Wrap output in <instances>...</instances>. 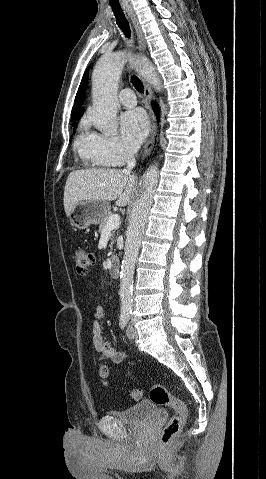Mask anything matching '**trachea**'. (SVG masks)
<instances>
[{"mask_svg": "<svg viewBox=\"0 0 266 479\" xmlns=\"http://www.w3.org/2000/svg\"><path fill=\"white\" fill-rule=\"evenodd\" d=\"M113 13L115 15L117 25L119 26V28L122 30V32L125 34V36L127 38H130L131 31H130L129 23H128L123 11L121 9H113ZM131 82H132L133 86L135 87V89L138 92H140V93L144 92L143 83L141 82V80L137 76H135V75L132 76L131 77Z\"/></svg>", "mask_w": 266, "mask_h": 479, "instance_id": "obj_1", "label": "trachea"}]
</instances>
